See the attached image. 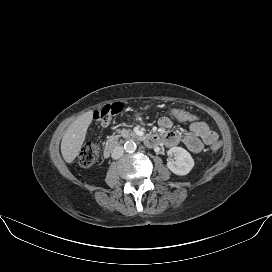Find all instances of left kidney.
<instances>
[{"label":"left kidney","instance_id":"left-kidney-1","mask_svg":"<svg viewBox=\"0 0 272 272\" xmlns=\"http://www.w3.org/2000/svg\"><path fill=\"white\" fill-rule=\"evenodd\" d=\"M168 156H174V159H168V169L176 175H187L194 167V160L190 153L182 147H172L167 152Z\"/></svg>","mask_w":272,"mask_h":272}]
</instances>
